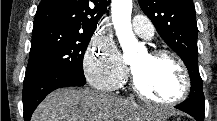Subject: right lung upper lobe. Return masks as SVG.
Returning a JSON list of instances; mask_svg holds the SVG:
<instances>
[{
    "instance_id": "right-lung-upper-lobe-1",
    "label": "right lung upper lobe",
    "mask_w": 217,
    "mask_h": 121,
    "mask_svg": "<svg viewBox=\"0 0 217 121\" xmlns=\"http://www.w3.org/2000/svg\"><path fill=\"white\" fill-rule=\"evenodd\" d=\"M106 0H42L34 26L59 24L81 30H95L106 12Z\"/></svg>"
}]
</instances>
